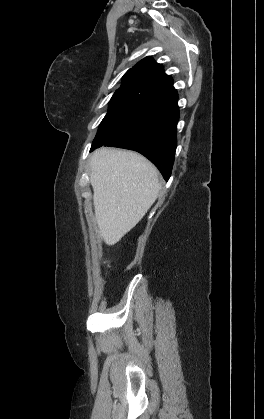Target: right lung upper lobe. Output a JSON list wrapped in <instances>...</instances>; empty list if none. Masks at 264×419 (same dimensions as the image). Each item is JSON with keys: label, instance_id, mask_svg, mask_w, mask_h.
<instances>
[{"label": "right lung upper lobe", "instance_id": "cb5924a9", "mask_svg": "<svg viewBox=\"0 0 264 419\" xmlns=\"http://www.w3.org/2000/svg\"><path fill=\"white\" fill-rule=\"evenodd\" d=\"M171 76L166 75L161 64L149 56L129 69L122 77L121 88H128L150 98L176 92Z\"/></svg>", "mask_w": 264, "mask_h": 419}]
</instances>
